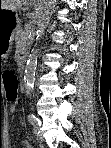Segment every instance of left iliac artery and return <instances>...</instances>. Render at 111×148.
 <instances>
[{
    "label": "left iliac artery",
    "mask_w": 111,
    "mask_h": 148,
    "mask_svg": "<svg viewBox=\"0 0 111 148\" xmlns=\"http://www.w3.org/2000/svg\"><path fill=\"white\" fill-rule=\"evenodd\" d=\"M28 121H29L32 125L39 124V119L36 118L35 115H33V114H29V115H28Z\"/></svg>",
    "instance_id": "left-iliac-artery-1"
}]
</instances>
